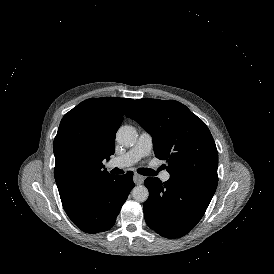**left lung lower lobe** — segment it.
Here are the masks:
<instances>
[{
	"label": "left lung lower lobe",
	"mask_w": 274,
	"mask_h": 274,
	"mask_svg": "<svg viewBox=\"0 0 274 274\" xmlns=\"http://www.w3.org/2000/svg\"><path fill=\"white\" fill-rule=\"evenodd\" d=\"M149 197L144 202L147 225L163 237L178 238L188 233L204 215L216 188L171 178L144 181Z\"/></svg>",
	"instance_id": "obj_1"
}]
</instances>
